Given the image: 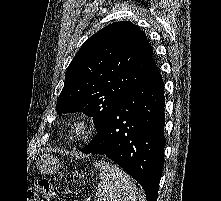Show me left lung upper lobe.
<instances>
[{
	"mask_svg": "<svg viewBox=\"0 0 221 201\" xmlns=\"http://www.w3.org/2000/svg\"><path fill=\"white\" fill-rule=\"evenodd\" d=\"M157 70L145 33L131 22L91 36L67 68L57 113L83 111L99 131L121 99Z\"/></svg>",
	"mask_w": 221,
	"mask_h": 201,
	"instance_id": "1",
	"label": "left lung upper lobe"
}]
</instances>
